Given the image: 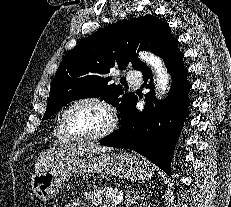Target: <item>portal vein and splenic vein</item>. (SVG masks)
Returning <instances> with one entry per match:
<instances>
[{"mask_svg":"<svg viewBox=\"0 0 231 207\" xmlns=\"http://www.w3.org/2000/svg\"><path fill=\"white\" fill-rule=\"evenodd\" d=\"M123 199L122 195L117 196L116 200L112 203H110L111 207H116Z\"/></svg>","mask_w":231,"mask_h":207,"instance_id":"18ae733b","label":"portal vein and splenic vein"}]
</instances>
